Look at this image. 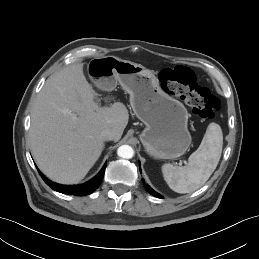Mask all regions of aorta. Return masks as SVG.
Instances as JSON below:
<instances>
[{"label":"aorta","mask_w":259,"mask_h":259,"mask_svg":"<svg viewBox=\"0 0 259 259\" xmlns=\"http://www.w3.org/2000/svg\"><path fill=\"white\" fill-rule=\"evenodd\" d=\"M117 155L124 159H130L134 155V150L129 145H122L117 149Z\"/></svg>","instance_id":"aorta-1"}]
</instances>
